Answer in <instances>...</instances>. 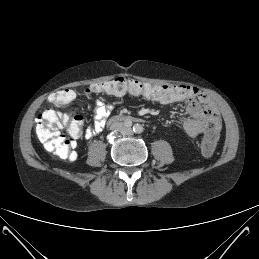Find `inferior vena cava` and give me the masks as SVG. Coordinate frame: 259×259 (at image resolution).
Segmentation results:
<instances>
[{
    "label": "inferior vena cava",
    "instance_id": "obj_1",
    "mask_svg": "<svg viewBox=\"0 0 259 259\" xmlns=\"http://www.w3.org/2000/svg\"><path fill=\"white\" fill-rule=\"evenodd\" d=\"M112 130H120L123 129L122 123H115L111 126Z\"/></svg>",
    "mask_w": 259,
    "mask_h": 259
}]
</instances>
